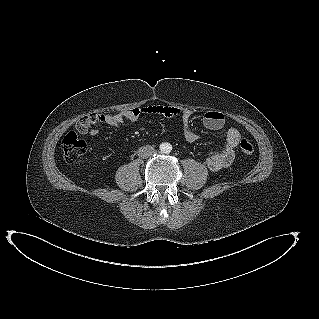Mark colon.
<instances>
[{
	"label": "colon",
	"mask_w": 319,
	"mask_h": 319,
	"mask_svg": "<svg viewBox=\"0 0 319 319\" xmlns=\"http://www.w3.org/2000/svg\"><path fill=\"white\" fill-rule=\"evenodd\" d=\"M91 117L85 116L80 122L88 123ZM240 149L245 154H251L254 150L253 144L247 140L243 139L240 141ZM62 150L64 159L67 162H75L79 157L85 154L87 150V142L80 138L75 132H68L62 140Z\"/></svg>",
	"instance_id": "5ec220e1"
}]
</instances>
